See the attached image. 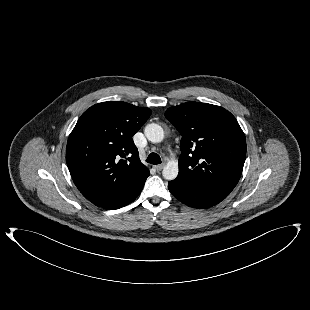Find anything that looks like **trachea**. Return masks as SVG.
I'll return each instance as SVG.
<instances>
[{
	"label": "trachea",
	"mask_w": 310,
	"mask_h": 310,
	"mask_svg": "<svg viewBox=\"0 0 310 310\" xmlns=\"http://www.w3.org/2000/svg\"><path fill=\"white\" fill-rule=\"evenodd\" d=\"M146 161L150 164H160L161 158L157 153H150L146 159Z\"/></svg>",
	"instance_id": "3493384b"
}]
</instances>
